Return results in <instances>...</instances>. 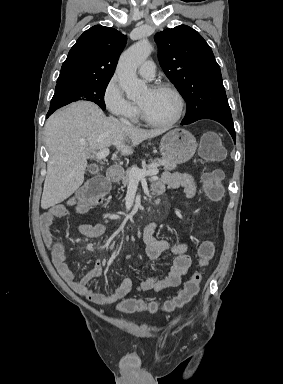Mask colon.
<instances>
[{"label":"colon","instance_id":"obj_1","mask_svg":"<svg viewBox=\"0 0 283 384\" xmlns=\"http://www.w3.org/2000/svg\"><path fill=\"white\" fill-rule=\"evenodd\" d=\"M201 158L205 164H211L222 159L224 148L219 135L215 132L206 133L201 140ZM222 172L215 168H207L202 176V184L208 197L213 201L221 199L223 189ZM109 190V183L103 177H95L86 182L76 193L71 205L78 212H85L93 206L102 202ZM215 252L214 245L210 241H204L198 248V259L201 266H206L213 258ZM201 274L196 272L185 283L183 289L171 300L166 301L161 307L155 302H144L138 299H125L120 302L117 309L125 313L135 312H156L159 308L170 312L181 308L191 301L198 293L201 283Z\"/></svg>","mask_w":283,"mask_h":384}]
</instances>
